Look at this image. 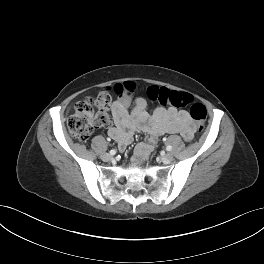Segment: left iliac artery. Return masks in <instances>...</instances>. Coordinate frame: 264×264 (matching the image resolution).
<instances>
[{
  "instance_id": "obj_1",
  "label": "left iliac artery",
  "mask_w": 264,
  "mask_h": 264,
  "mask_svg": "<svg viewBox=\"0 0 264 264\" xmlns=\"http://www.w3.org/2000/svg\"><path fill=\"white\" fill-rule=\"evenodd\" d=\"M166 150H167V151H171V150H172V146L168 145V146L166 147Z\"/></svg>"
}]
</instances>
